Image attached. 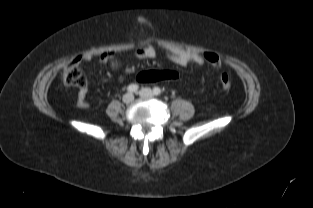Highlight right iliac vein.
<instances>
[{"instance_id": "63e3f726", "label": "right iliac vein", "mask_w": 313, "mask_h": 208, "mask_svg": "<svg viewBox=\"0 0 313 208\" xmlns=\"http://www.w3.org/2000/svg\"><path fill=\"white\" fill-rule=\"evenodd\" d=\"M122 100L124 103L129 104L134 100V96L131 93H127L123 96Z\"/></svg>"}]
</instances>
